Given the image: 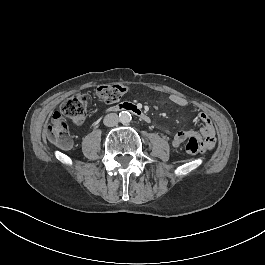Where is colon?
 <instances>
[{"instance_id": "5ec220e1", "label": "colon", "mask_w": 265, "mask_h": 265, "mask_svg": "<svg viewBox=\"0 0 265 265\" xmlns=\"http://www.w3.org/2000/svg\"><path fill=\"white\" fill-rule=\"evenodd\" d=\"M125 92L126 87L123 84L102 85L96 90L98 98L105 103L117 101ZM88 103L89 95L87 93L76 94L66 99L45 127L43 132L45 141L61 149L71 148L73 142L66 118H70L76 123L85 122ZM187 142L183 149L195 155L200 148L199 139L196 136H190Z\"/></svg>"}]
</instances>
